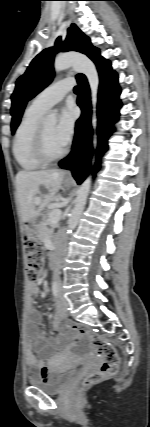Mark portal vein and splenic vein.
I'll list each match as a JSON object with an SVG mask.
<instances>
[{
  "instance_id": "obj_1",
  "label": "portal vein and splenic vein",
  "mask_w": 150,
  "mask_h": 427,
  "mask_svg": "<svg viewBox=\"0 0 150 427\" xmlns=\"http://www.w3.org/2000/svg\"><path fill=\"white\" fill-rule=\"evenodd\" d=\"M35 203L41 202V197H35ZM62 211L60 209H53L49 214V221L54 224L57 223L61 217Z\"/></svg>"
}]
</instances>
